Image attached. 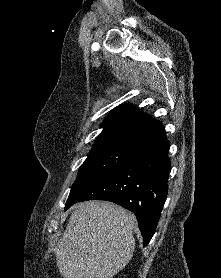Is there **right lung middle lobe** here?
<instances>
[{
    "label": "right lung middle lobe",
    "mask_w": 221,
    "mask_h": 278,
    "mask_svg": "<svg viewBox=\"0 0 221 278\" xmlns=\"http://www.w3.org/2000/svg\"><path fill=\"white\" fill-rule=\"evenodd\" d=\"M135 147L117 141L96 142L79 169L65 210L73 205L94 183L127 161Z\"/></svg>",
    "instance_id": "obj_1"
}]
</instances>
